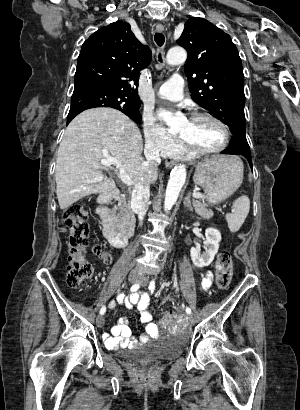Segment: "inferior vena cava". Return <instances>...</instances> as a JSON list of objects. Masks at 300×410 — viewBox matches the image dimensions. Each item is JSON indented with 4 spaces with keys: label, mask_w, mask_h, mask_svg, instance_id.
<instances>
[{
    "label": "inferior vena cava",
    "mask_w": 300,
    "mask_h": 410,
    "mask_svg": "<svg viewBox=\"0 0 300 410\" xmlns=\"http://www.w3.org/2000/svg\"><path fill=\"white\" fill-rule=\"evenodd\" d=\"M145 156L147 161H143L141 165V178L136 183L131 196V208L138 214L140 223L144 219V216L147 212V202L150 197V184L145 181L144 172H146L149 166H152L157 169L158 165L161 163V159L158 151L146 150Z\"/></svg>",
    "instance_id": "602c4592"
}]
</instances>
